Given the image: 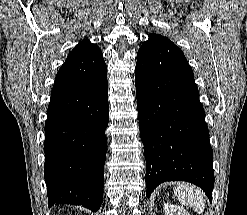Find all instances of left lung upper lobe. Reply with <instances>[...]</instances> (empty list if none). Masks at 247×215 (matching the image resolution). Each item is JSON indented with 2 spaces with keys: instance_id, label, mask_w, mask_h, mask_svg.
Returning <instances> with one entry per match:
<instances>
[{
  "instance_id": "left-lung-upper-lobe-1",
  "label": "left lung upper lobe",
  "mask_w": 247,
  "mask_h": 215,
  "mask_svg": "<svg viewBox=\"0 0 247 215\" xmlns=\"http://www.w3.org/2000/svg\"><path fill=\"white\" fill-rule=\"evenodd\" d=\"M149 38H156V39H162V40L170 41L166 37H163V36H161L159 34H150Z\"/></svg>"
}]
</instances>
